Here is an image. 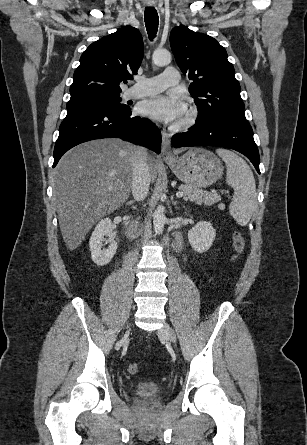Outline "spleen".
<instances>
[{"label": "spleen", "mask_w": 307, "mask_h": 445, "mask_svg": "<svg viewBox=\"0 0 307 445\" xmlns=\"http://www.w3.org/2000/svg\"><path fill=\"white\" fill-rule=\"evenodd\" d=\"M216 152L226 164V182L234 190L229 212L238 225L245 227L257 206L254 174L246 160L232 150L217 148Z\"/></svg>", "instance_id": "spleen-1"}]
</instances>
